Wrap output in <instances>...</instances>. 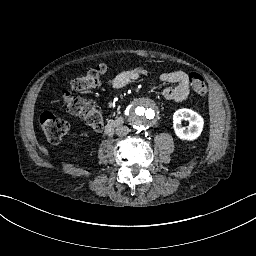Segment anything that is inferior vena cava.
<instances>
[{
    "label": "inferior vena cava",
    "instance_id": "inferior-vena-cava-1",
    "mask_svg": "<svg viewBox=\"0 0 256 256\" xmlns=\"http://www.w3.org/2000/svg\"><path fill=\"white\" fill-rule=\"evenodd\" d=\"M130 132V129L127 126L119 125L115 129V133L118 136H126Z\"/></svg>",
    "mask_w": 256,
    "mask_h": 256
}]
</instances>
